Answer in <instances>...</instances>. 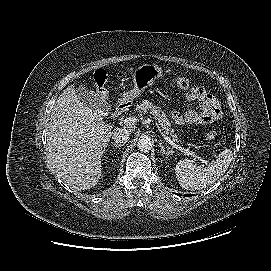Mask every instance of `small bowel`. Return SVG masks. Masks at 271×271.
I'll return each mask as SVG.
<instances>
[{
  "label": "small bowel",
  "mask_w": 271,
  "mask_h": 271,
  "mask_svg": "<svg viewBox=\"0 0 271 271\" xmlns=\"http://www.w3.org/2000/svg\"><path fill=\"white\" fill-rule=\"evenodd\" d=\"M188 109L184 115L177 111L172 112L171 116L175 123L179 125H207L222 117L219 101L203 86H195L186 95ZM195 105L199 106L196 110Z\"/></svg>",
  "instance_id": "1"
}]
</instances>
